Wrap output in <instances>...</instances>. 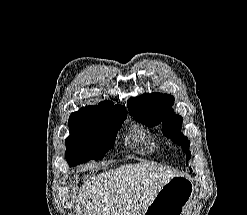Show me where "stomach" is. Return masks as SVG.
Listing matches in <instances>:
<instances>
[{
	"instance_id": "1",
	"label": "stomach",
	"mask_w": 247,
	"mask_h": 215,
	"mask_svg": "<svg viewBox=\"0 0 247 215\" xmlns=\"http://www.w3.org/2000/svg\"><path fill=\"white\" fill-rule=\"evenodd\" d=\"M195 190L191 179L175 176L158 191L142 215H184Z\"/></svg>"
}]
</instances>
